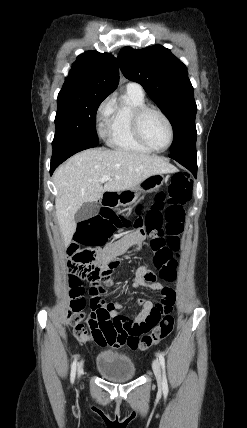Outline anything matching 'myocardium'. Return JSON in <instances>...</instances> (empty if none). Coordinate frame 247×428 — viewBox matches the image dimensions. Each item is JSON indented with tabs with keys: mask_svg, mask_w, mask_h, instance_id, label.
<instances>
[{
	"mask_svg": "<svg viewBox=\"0 0 247 428\" xmlns=\"http://www.w3.org/2000/svg\"><path fill=\"white\" fill-rule=\"evenodd\" d=\"M148 112H155L158 115H160L164 121L167 124L168 130H169V139L167 144L162 147V148H156L153 147L144 137V134L142 132V118L144 117V115ZM131 126H132V130L133 133L136 137V139L146 148H148L150 151H154V152H163L165 150H167L173 143L174 140V128L172 125L171 120L169 119V117L158 107L155 106H151V105H143L140 106L138 108H136L134 110V112L132 113V117H131Z\"/></svg>",
	"mask_w": 247,
	"mask_h": 428,
	"instance_id": "obj_1",
	"label": "myocardium"
}]
</instances>
